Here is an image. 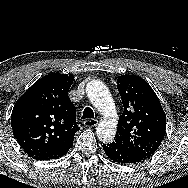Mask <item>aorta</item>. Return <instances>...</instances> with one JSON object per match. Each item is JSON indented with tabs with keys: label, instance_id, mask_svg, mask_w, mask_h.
Instances as JSON below:
<instances>
[{
	"label": "aorta",
	"instance_id": "obj_1",
	"mask_svg": "<svg viewBox=\"0 0 188 188\" xmlns=\"http://www.w3.org/2000/svg\"><path fill=\"white\" fill-rule=\"evenodd\" d=\"M86 93L103 118L96 128V135L100 141L108 143L114 138L117 127V111L113 98L106 85L99 80L88 82Z\"/></svg>",
	"mask_w": 188,
	"mask_h": 188
}]
</instances>
